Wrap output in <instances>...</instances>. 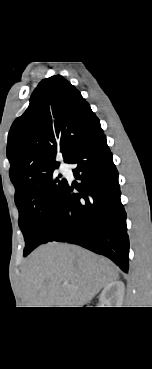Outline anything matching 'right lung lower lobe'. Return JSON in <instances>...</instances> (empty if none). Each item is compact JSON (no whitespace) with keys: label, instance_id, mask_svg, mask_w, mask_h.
I'll list each match as a JSON object with an SVG mask.
<instances>
[{"label":"right lung lower lobe","instance_id":"right-lung-lower-lobe-1","mask_svg":"<svg viewBox=\"0 0 152 369\" xmlns=\"http://www.w3.org/2000/svg\"><path fill=\"white\" fill-rule=\"evenodd\" d=\"M67 163L77 164L73 172L81 183L74 186L67 182L44 243L80 245L128 272L126 212L120 200L118 172L102 129L81 144Z\"/></svg>","mask_w":152,"mask_h":369}]
</instances>
